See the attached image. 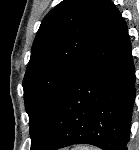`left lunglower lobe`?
Listing matches in <instances>:
<instances>
[{"label": "left lung lower lobe", "mask_w": 139, "mask_h": 150, "mask_svg": "<svg viewBox=\"0 0 139 150\" xmlns=\"http://www.w3.org/2000/svg\"><path fill=\"white\" fill-rule=\"evenodd\" d=\"M135 71L127 25L113 4L87 52L58 94L31 150L91 144L127 150Z\"/></svg>", "instance_id": "0a47b994"}]
</instances>
